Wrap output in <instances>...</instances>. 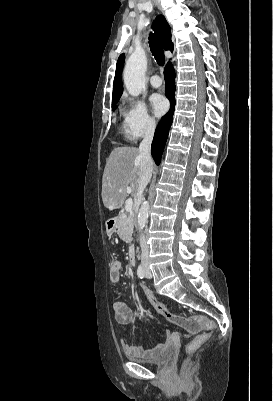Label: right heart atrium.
<instances>
[{
	"instance_id": "d8ad5b80",
	"label": "right heart atrium",
	"mask_w": 273,
	"mask_h": 401,
	"mask_svg": "<svg viewBox=\"0 0 273 401\" xmlns=\"http://www.w3.org/2000/svg\"><path fill=\"white\" fill-rule=\"evenodd\" d=\"M123 116L125 136L130 141L151 136L157 128V122L149 115L142 101L128 98Z\"/></svg>"
}]
</instances>
